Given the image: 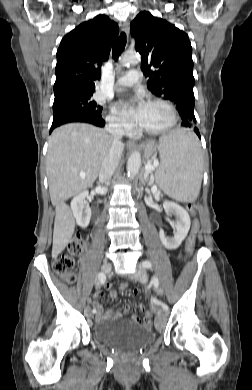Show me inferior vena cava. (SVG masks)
Masks as SVG:
<instances>
[{
    "mask_svg": "<svg viewBox=\"0 0 252 390\" xmlns=\"http://www.w3.org/2000/svg\"><path fill=\"white\" fill-rule=\"evenodd\" d=\"M105 131L111 135L113 141L108 154L101 164L99 171V184L104 192L107 191L106 185L109 183L114 171L119 164L124 146L121 141L124 135V130L121 125L116 123H109L106 125Z\"/></svg>",
    "mask_w": 252,
    "mask_h": 390,
    "instance_id": "inferior-vena-cava-1",
    "label": "inferior vena cava"
}]
</instances>
